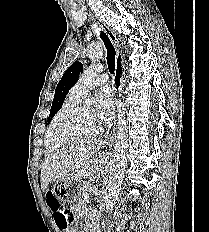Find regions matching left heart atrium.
<instances>
[{"label": "left heart atrium", "mask_w": 209, "mask_h": 232, "mask_svg": "<svg viewBox=\"0 0 209 232\" xmlns=\"http://www.w3.org/2000/svg\"><path fill=\"white\" fill-rule=\"evenodd\" d=\"M96 119L98 123L106 121L115 107V94L112 87L106 86L100 91L95 99Z\"/></svg>", "instance_id": "obj_1"}]
</instances>
